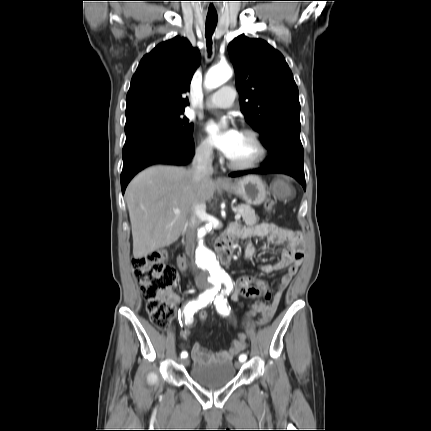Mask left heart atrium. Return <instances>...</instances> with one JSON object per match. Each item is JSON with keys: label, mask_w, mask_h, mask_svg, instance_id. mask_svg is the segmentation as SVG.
I'll use <instances>...</instances> for the list:
<instances>
[{"label": "left heart atrium", "mask_w": 431, "mask_h": 431, "mask_svg": "<svg viewBox=\"0 0 431 431\" xmlns=\"http://www.w3.org/2000/svg\"><path fill=\"white\" fill-rule=\"evenodd\" d=\"M204 130L211 144L227 157L233 151L241 134L235 127H224L214 120L208 121Z\"/></svg>", "instance_id": "obj_1"}]
</instances>
